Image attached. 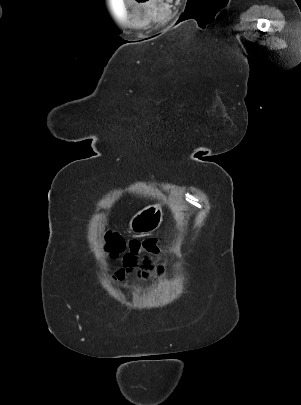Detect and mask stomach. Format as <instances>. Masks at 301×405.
<instances>
[{
  "mask_svg": "<svg viewBox=\"0 0 301 405\" xmlns=\"http://www.w3.org/2000/svg\"><path fill=\"white\" fill-rule=\"evenodd\" d=\"M162 221L160 207L148 206L133 216L130 220V229L137 234H146L158 228Z\"/></svg>",
  "mask_w": 301,
  "mask_h": 405,
  "instance_id": "stomach-1",
  "label": "stomach"
}]
</instances>
